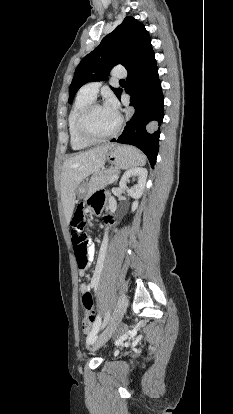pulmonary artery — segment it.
Returning a JSON list of instances; mask_svg holds the SVG:
<instances>
[{"mask_svg":"<svg viewBox=\"0 0 233 414\" xmlns=\"http://www.w3.org/2000/svg\"><path fill=\"white\" fill-rule=\"evenodd\" d=\"M126 75L127 73L125 69L122 67H116L112 71L113 78H124L126 77ZM100 86H101L100 82H89L82 87L81 91L84 94L90 96L91 98H95L96 94L99 91Z\"/></svg>","mask_w":233,"mask_h":414,"instance_id":"obj_1","label":"pulmonary artery"}]
</instances>
